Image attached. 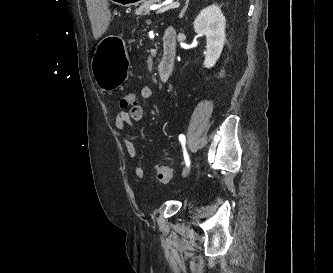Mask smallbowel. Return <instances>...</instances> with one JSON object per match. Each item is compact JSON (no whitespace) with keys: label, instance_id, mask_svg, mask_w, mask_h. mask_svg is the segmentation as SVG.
I'll return each instance as SVG.
<instances>
[{"label":"small bowel","instance_id":"c3829d8e","mask_svg":"<svg viewBox=\"0 0 333 273\" xmlns=\"http://www.w3.org/2000/svg\"><path fill=\"white\" fill-rule=\"evenodd\" d=\"M142 99L148 100L152 97V89L149 86H143L140 90ZM144 117V109L136 101L129 110L120 109L114 119V127L119 134L127 155L131 160L134 176L142 179L145 176L144 169L136 162V148L134 143L123 135L127 124H137Z\"/></svg>","mask_w":333,"mask_h":273}]
</instances>
